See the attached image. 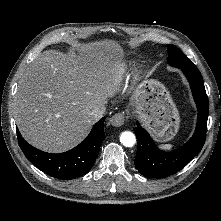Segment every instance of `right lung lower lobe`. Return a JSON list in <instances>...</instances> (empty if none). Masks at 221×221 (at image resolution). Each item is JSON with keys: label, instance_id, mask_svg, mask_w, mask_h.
I'll list each match as a JSON object with an SVG mask.
<instances>
[{"label": "right lung lower lobe", "instance_id": "obj_1", "mask_svg": "<svg viewBox=\"0 0 221 221\" xmlns=\"http://www.w3.org/2000/svg\"><path fill=\"white\" fill-rule=\"evenodd\" d=\"M104 121L105 118L98 121L84 141L64 153L52 154L34 148L17 129L18 143L27 159L44 173L58 179H73L87 174L94 165L105 139Z\"/></svg>", "mask_w": 221, "mask_h": 221}]
</instances>
